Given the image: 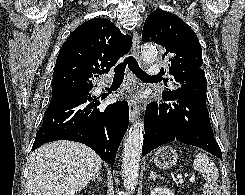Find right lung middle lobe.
Masks as SVG:
<instances>
[{
	"instance_id": "right-lung-middle-lobe-1",
	"label": "right lung middle lobe",
	"mask_w": 245,
	"mask_h": 195,
	"mask_svg": "<svg viewBox=\"0 0 245 195\" xmlns=\"http://www.w3.org/2000/svg\"><path fill=\"white\" fill-rule=\"evenodd\" d=\"M79 90H72V91H68V92H64V93H73V92H77Z\"/></svg>"
}]
</instances>
